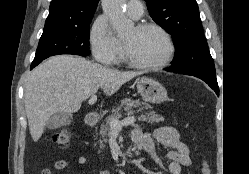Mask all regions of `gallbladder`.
I'll return each mask as SVG.
<instances>
[{"mask_svg":"<svg viewBox=\"0 0 249 174\" xmlns=\"http://www.w3.org/2000/svg\"><path fill=\"white\" fill-rule=\"evenodd\" d=\"M73 120L71 114L67 113H55L53 114L46 123L48 129H58L62 126L69 125Z\"/></svg>","mask_w":249,"mask_h":174,"instance_id":"bac80fb5","label":"gallbladder"}]
</instances>
